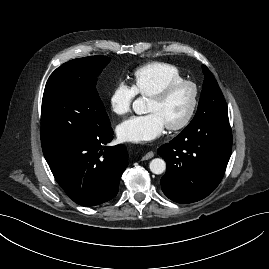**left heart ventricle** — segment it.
<instances>
[{"mask_svg":"<svg viewBox=\"0 0 269 269\" xmlns=\"http://www.w3.org/2000/svg\"><path fill=\"white\" fill-rule=\"evenodd\" d=\"M192 101V89L181 86L175 89L167 99L158 101L149 99L147 112L157 113L166 125L177 123L186 115Z\"/></svg>","mask_w":269,"mask_h":269,"instance_id":"obj_1","label":"left heart ventricle"}]
</instances>
